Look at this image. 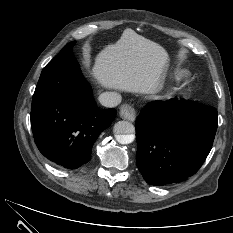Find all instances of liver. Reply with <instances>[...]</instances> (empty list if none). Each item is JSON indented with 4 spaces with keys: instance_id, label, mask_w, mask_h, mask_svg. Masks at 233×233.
<instances>
[{
    "instance_id": "6515ba94",
    "label": "liver",
    "mask_w": 233,
    "mask_h": 233,
    "mask_svg": "<svg viewBox=\"0 0 233 233\" xmlns=\"http://www.w3.org/2000/svg\"><path fill=\"white\" fill-rule=\"evenodd\" d=\"M168 62L162 46L133 30H125L117 43L96 56L91 74L108 89L154 94L161 87Z\"/></svg>"
}]
</instances>
